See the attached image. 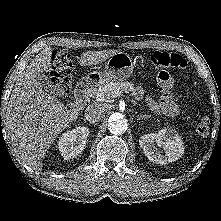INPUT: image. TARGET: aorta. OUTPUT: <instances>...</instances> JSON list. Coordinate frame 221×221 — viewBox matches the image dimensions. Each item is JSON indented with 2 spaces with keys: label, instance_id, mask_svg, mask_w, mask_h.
<instances>
[{
  "label": "aorta",
  "instance_id": "1",
  "mask_svg": "<svg viewBox=\"0 0 221 221\" xmlns=\"http://www.w3.org/2000/svg\"><path fill=\"white\" fill-rule=\"evenodd\" d=\"M128 121L121 113H113L108 119V130L110 133L120 135L126 132Z\"/></svg>",
  "mask_w": 221,
  "mask_h": 221
}]
</instances>
